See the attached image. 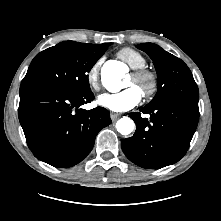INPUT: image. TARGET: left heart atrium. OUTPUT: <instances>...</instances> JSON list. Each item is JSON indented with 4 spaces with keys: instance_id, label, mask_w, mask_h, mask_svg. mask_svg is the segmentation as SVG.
Wrapping results in <instances>:
<instances>
[{
    "instance_id": "left-heart-atrium-1",
    "label": "left heart atrium",
    "mask_w": 221,
    "mask_h": 221,
    "mask_svg": "<svg viewBox=\"0 0 221 221\" xmlns=\"http://www.w3.org/2000/svg\"><path fill=\"white\" fill-rule=\"evenodd\" d=\"M141 91L135 85L115 93H104L98 97V104L114 112H123L132 109L140 102Z\"/></svg>"
}]
</instances>
